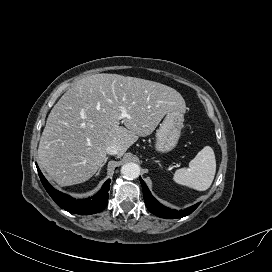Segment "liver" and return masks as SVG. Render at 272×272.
<instances>
[{
  "label": "liver",
  "mask_w": 272,
  "mask_h": 272,
  "mask_svg": "<svg viewBox=\"0 0 272 272\" xmlns=\"http://www.w3.org/2000/svg\"><path fill=\"white\" fill-rule=\"evenodd\" d=\"M128 117L120 126V107ZM183 97L158 82L95 74L77 81L52 108L40 138L38 160L61 186L89 180L106 158V147L118 157L139 138L150 135L169 111L184 113Z\"/></svg>",
  "instance_id": "liver-1"
}]
</instances>
